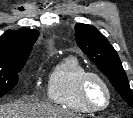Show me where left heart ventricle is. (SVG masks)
Instances as JSON below:
<instances>
[{
	"mask_svg": "<svg viewBox=\"0 0 133 118\" xmlns=\"http://www.w3.org/2000/svg\"><path fill=\"white\" fill-rule=\"evenodd\" d=\"M89 97L95 106H103L106 102V91L103 86L97 81L92 80L89 84Z\"/></svg>",
	"mask_w": 133,
	"mask_h": 118,
	"instance_id": "b2bd125f",
	"label": "left heart ventricle"
}]
</instances>
